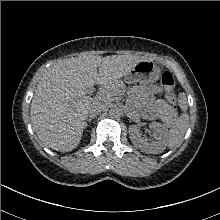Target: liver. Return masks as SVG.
<instances>
[{
	"instance_id": "obj_1",
	"label": "liver",
	"mask_w": 220,
	"mask_h": 220,
	"mask_svg": "<svg viewBox=\"0 0 220 220\" xmlns=\"http://www.w3.org/2000/svg\"><path fill=\"white\" fill-rule=\"evenodd\" d=\"M142 60L134 55H83L53 65L38 82L31 102L30 118L38 138L53 150H73L90 108L103 105L105 93L118 92L120 79ZM95 84L100 85V96L91 101L86 91Z\"/></svg>"
}]
</instances>
